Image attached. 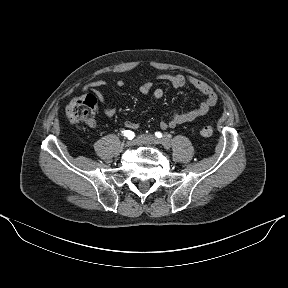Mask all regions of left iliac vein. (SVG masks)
I'll return each instance as SVG.
<instances>
[{"label": "left iliac vein", "instance_id": "1", "mask_svg": "<svg viewBox=\"0 0 288 288\" xmlns=\"http://www.w3.org/2000/svg\"><path fill=\"white\" fill-rule=\"evenodd\" d=\"M141 141L147 144H162L166 149L170 148V142L168 139H158L153 135H144L141 137Z\"/></svg>", "mask_w": 288, "mask_h": 288}]
</instances>
